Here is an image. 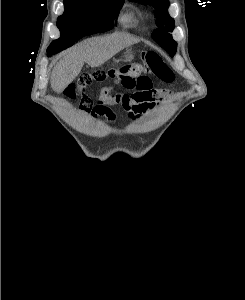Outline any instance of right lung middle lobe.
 Instances as JSON below:
<instances>
[{
	"mask_svg": "<svg viewBox=\"0 0 245 300\" xmlns=\"http://www.w3.org/2000/svg\"><path fill=\"white\" fill-rule=\"evenodd\" d=\"M122 3L123 0H64L65 11L57 20L61 37L50 44L47 52L58 53L82 38L84 31L79 26L80 21L93 19L101 23L105 31L112 29Z\"/></svg>",
	"mask_w": 245,
	"mask_h": 300,
	"instance_id": "dd1d6c3e",
	"label": "right lung middle lobe"
}]
</instances>
